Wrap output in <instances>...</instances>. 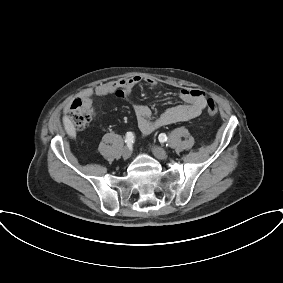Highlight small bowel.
I'll list each match as a JSON object with an SVG mask.
<instances>
[{
	"label": "small bowel",
	"mask_w": 283,
	"mask_h": 283,
	"mask_svg": "<svg viewBox=\"0 0 283 283\" xmlns=\"http://www.w3.org/2000/svg\"><path fill=\"white\" fill-rule=\"evenodd\" d=\"M141 82L152 87L157 85V81L154 78L133 76L127 79L100 84L95 88L85 89L81 93V99L88 104H92L94 97L113 94L129 102L136 115L138 127L143 135H149L156 129L169 124L194 119L200 115L207 104V97L203 91L199 89H183L180 92V97L184 101L183 104L167 108L158 118L152 119L150 107L134 100L132 97L133 89Z\"/></svg>",
	"instance_id": "c3829d8e"
}]
</instances>
